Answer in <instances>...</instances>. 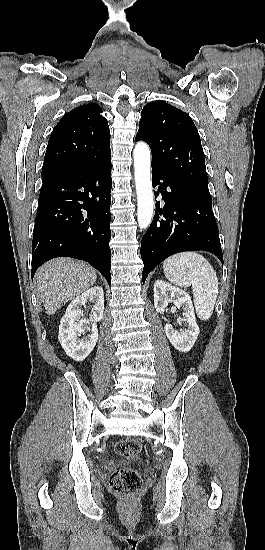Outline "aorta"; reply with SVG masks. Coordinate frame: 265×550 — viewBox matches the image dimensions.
I'll return each instance as SVG.
<instances>
[{"mask_svg": "<svg viewBox=\"0 0 265 550\" xmlns=\"http://www.w3.org/2000/svg\"><path fill=\"white\" fill-rule=\"evenodd\" d=\"M133 158L138 202L137 220L140 229H146L151 224L154 212L149 146L144 142H138L133 151Z\"/></svg>", "mask_w": 265, "mask_h": 550, "instance_id": "obj_1", "label": "aorta"}]
</instances>
